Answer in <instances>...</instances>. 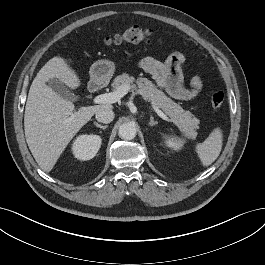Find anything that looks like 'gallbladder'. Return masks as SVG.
Wrapping results in <instances>:
<instances>
[{
	"instance_id": "1",
	"label": "gallbladder",
	"mask_w": 265,
	"mask_h": 265,
	"mask_svg": "<svg viewBox=\"0 0 265 265\" xmlns=\"http://www.w3.org/2000/svg\"><path fill=\"white\" fill-rule=\"evenodd\" d=\"M48 85L51 87V89L56 92L57 94H59L61 97H63L64 99L67 100H76L77 97L76 95H74L73 93H71L65 86L64 84L59 81L58 79H51L48 82Z\"/></svg>"
}]
</instances>
